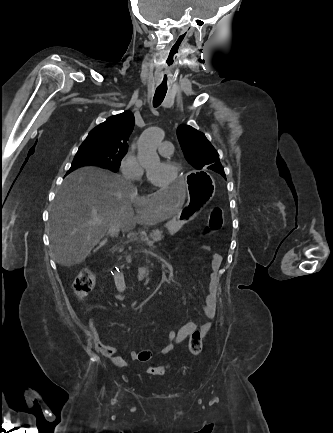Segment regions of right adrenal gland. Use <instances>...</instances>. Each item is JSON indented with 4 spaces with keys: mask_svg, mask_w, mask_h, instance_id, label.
I'll list each match as a JSON object with an SVG mask.
<instances>
[{
    "mask_svg": "<svg viewBox=\"0 0 333 433\" xmlns=\"http://www.w3.org/2000/svg\"><path fill=\"white\" fill-rule=\"evenodd\" d=\"M106 241H107V239H105V240L103 241V244H105V243H106ZM96 250H97V248H96Z\"/></svg>",
    "mask_w": 333,
    "mask_h": 433,
    "instance_id": "obj_1",
    "label": "right adrenal gland"
}]
</instances>
